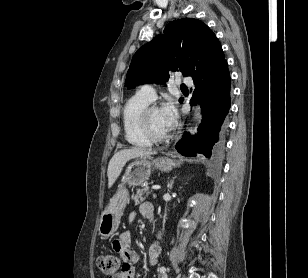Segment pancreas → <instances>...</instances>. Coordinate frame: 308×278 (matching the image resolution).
Returning <instances> with one entry per match:
<instances>
[{"label": "pancreas", "mask_w": 308, "mask_h": 278, "mask_svg": "<svg viewBox=\"0 0 308 278\" xmlns=\"http://www.w3.org/2000/svg\"><path fill=\"white\" fill-rule=\"evenodd\" d=\"M149 195V188L147 186H142L141 189H137L136 194L132 195L135 204H139V199L143 201Z\"/></svg>", "instance_id": "cf45deb5"}]
</instances>
